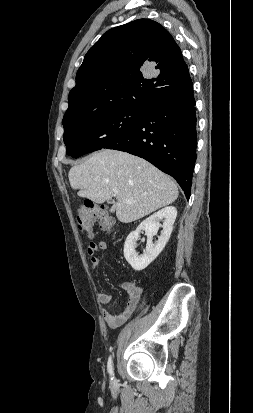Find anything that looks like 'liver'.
Returning a JSON list of instances; mask_svg holds the SVG:
<instances>
[{
	"instance_id": "obj_1",
	"label": "liver",
	"mask_w": 253,
	"mask_h": 413,
	"mask_svg": "<svg viewBox=\"0 0 253 413\" xmlns=\"http://www.w3.org/2000/svg\"><path fill=\"white\" fill-rule=\"evenodd\" d=\"M71 187L78 196L103 203L116 196L110 212L122 223L136 221L178 197L175 181L143 158L132 154L103 149L93 153L69 173ZM118 189V193H114ZM132 200L134 203H127Z\"/></svg>"
}]
</instances>
